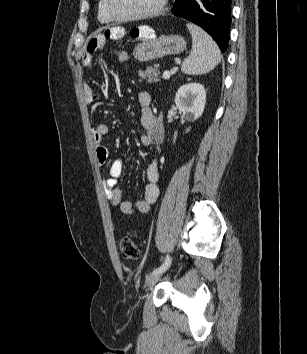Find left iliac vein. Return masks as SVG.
Here are the masks:
<instances>
[{
  "label": "left iliac vein",
  "instance_id": "obj_1",
  "mask_svg": "<svg viewBox=\"0 0 307 354\" xmlns=\"http://www.w3.org/2000/svg\"><path fill=\"white\" fill-rule=\"evenodd\" d=\"M162 276V273H152L147 279H146V286L147 287H152L155 285V283L160 279Z\"/></svg>",
  "mask_w": 307,
  "mask_h": 354
}]
</instances>
